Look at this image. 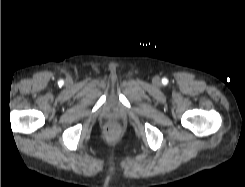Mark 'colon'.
I'll return each mask as SVG.
<instances>
[{"mask_svg":"<svg viewBox=\"0 0 245 187\" xmlns=\"http://www.w3.org/2000/svg\"><path fill=\"white\" fill-rule=\"evenodd\" d=\"M116 131H117V127L114 126V125H111V126H109V127L107 128V133H108L109 135L115 134Z\"/></svg>","mask_w":245,"mask_h":187,"instance_id":"obj_1","label":"colon"}]
</instances>
